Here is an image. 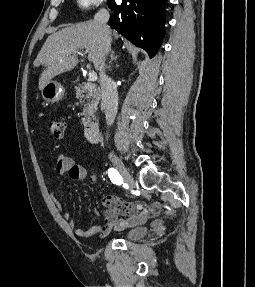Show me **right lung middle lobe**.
<instances>
[{
	"instance_id": "dd1d6c3e",
	"label": "right lung middle lobe",
	"mask_w": 255,
	"mask_h": 287,
	"mask_svg": "<svg viewBox=\"0 0 255 287\" xmlns=\"http://www.w3.org/2000/svg\"><path fill=\"white\" fill-rule=\"evenodd\" d=\"M115 4L114 0H108V6L111 7Z\"/></svg>"
}]
</instances>
